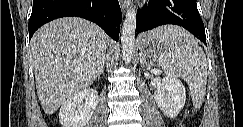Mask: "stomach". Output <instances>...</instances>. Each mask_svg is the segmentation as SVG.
Listing matches in <instances>:
<instances>
[{"label":"stomach","instance_id":"0dacf381","mask_svg":"<svg viewBox=\"0 0 243 127\" xmlns=\"http://www.w3.org/2000/svg\"><path fill=\"white\" fill-rule=\"evenodd\" d=\"M161 28L144 34L139 41L140 55L159 59L167 51V44L159 36Z\"/></svg>","mask_w":243,"mask_h":127}]
</instances>
